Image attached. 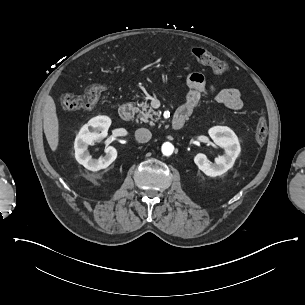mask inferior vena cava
<instances>
[{"mask_svg":"<svg viewBox=\"0 0 305 305\" xmlns=\"http://www.w3.org/2000/svg\"><path fill=\"white\" fill-rule=\"evenodd\" d=\"M152 134L151 132L146 128H139L135 131V138L139 142H147L151 139Z\"/></svg>","mask_w":305,"mask_h":305,"instance_id":"inferior-vena-cava-1","label":"inferior vena cava"}]
</instances>
